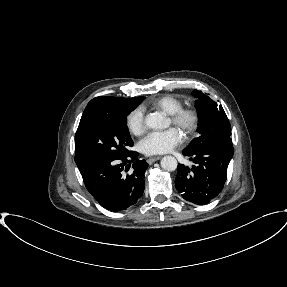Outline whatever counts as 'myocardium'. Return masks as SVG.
Listing matches in <instances>:
<instances>
[{
	"label": "myocardium",
	"mask_w": 287,
	"mask_h": 287,
	"mask_svg": "<svg viewBox=\"0 0 287 287\" xmlns=\"http://www.w3.org/2000/svg\"><path fill=\"white\" fill-rule=\"evenodd\" d=\"M172 124L182 129L185 138L193 137L200 125L199 111L194 107H182L169 115Z\"/></svg>",
	"instance_id": "obj_1"
}]
</instances>
